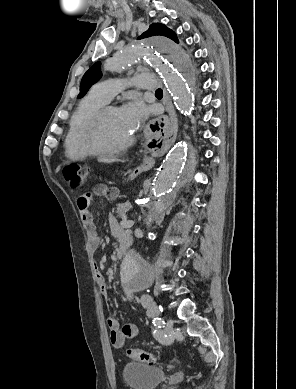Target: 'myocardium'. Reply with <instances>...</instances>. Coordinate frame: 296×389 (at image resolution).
I'll return each mask as SVG.
<instances>
[{"label": "myocardium", "mask_w": 296, "mask_h": 389, "mask_svg": "<svg viewBox=\"0 0 296 389\" xmlns=\"http://www.w3.org/2000/svg\"><path fill=\"white\" fill-rule=\"evenodd\" d=\"M115 106L105 105L100 108L93 116L85 138L88 152L96 156H110L122 153L134 143V136H131L126 142L116 147H105L100 141V131L105 116L111 111H117Z\"/></svg>", "instance_id": "1"}]
</instances>
